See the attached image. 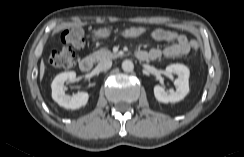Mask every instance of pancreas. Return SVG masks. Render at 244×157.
<instances>
[{
	"label": "pancreas",
	"instance_id": "1",
	"mask_svg": "<svg viewBox=\"0 0 244 157\" xmlns=\"http://www.w3.org/2000/svg\"><path fill=\"white\" fill-rule=\"evenodd\" d=\"M89 57L96 62H100V61H103L106 59H115L118 57V55L115 53H112L111 51H109L107 49H101V50L93 52L92 54H90Z\"/></svg>",
	"mask_w": 244,
	"mask_h": 157
}]
</instances>
